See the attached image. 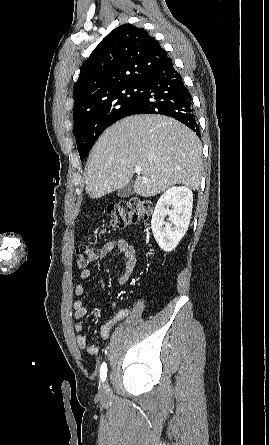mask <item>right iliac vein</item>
Instances as JSON below:
<instances>
[{
    "mask_svg": "<svg viewBox=\"0 0 269 445\" xmlns=\"http://www.w3.org/2000/svg\"><path fill=\"white\" fill-rule=\"evenodd\" d=\"M110 390L107 383L103 384L100 388V395L103 398H107L109 396Z\"/></svg>",
    "mask_w": 269,
    "mask_h": 445,
    "instance_id": "63e3f726",
    "label": "right iliac vein"
}]
</instances>
